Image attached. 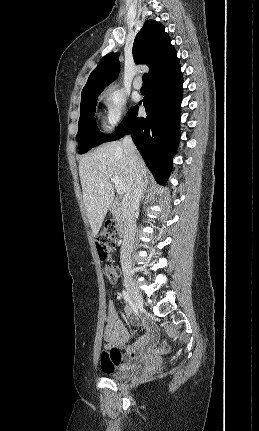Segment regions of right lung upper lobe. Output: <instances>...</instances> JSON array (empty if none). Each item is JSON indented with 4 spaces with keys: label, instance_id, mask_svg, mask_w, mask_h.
Returning a JSON list of instances; mask_svg holds the SVG:
<instances>
[{
    "label": "right lung upper lobe",
    "instance_id": "cb5924a9",
    "mask_svg": "<svg viewBox=\"0 0 259 431\" xmlns=\"http://www.w3.org/2000/svg\"><path fill=\"white\" fill-rule=\"evenodd\" d=\"M118 57V53H110L101 59L90 74L81 98L90 93L102 92L106 85L117 78ZM133 57L136 63H145L150 68V80L179 64L169 35L164 26L155 20H147L137 34L133 44Z\"/></svg>",
    "mask_w": 259,
    "mask_h": 431
}]
</instances>
